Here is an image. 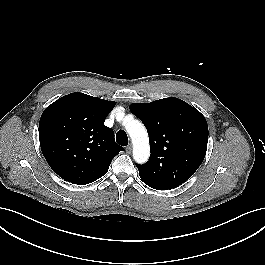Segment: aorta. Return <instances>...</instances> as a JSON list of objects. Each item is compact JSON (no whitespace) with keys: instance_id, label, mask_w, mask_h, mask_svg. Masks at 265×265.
Instances as JSON below:
<instances>
[{"instance_id":"aorta-1","label":"aorta","mask_w":265,"mask_h":265,"mask_svg":"<svg viewBox=\"0 0 265 265\" xmlns=\"http://www.w3.org/2000/svg\"><path fill=\"white\" fill-rule=\"evenodd\" d=\"M126 130L133 143V158L138 163L146 162L150 156V145L145 126L137 120H132L126 124Z\"/></svg>"}]
</instances>
